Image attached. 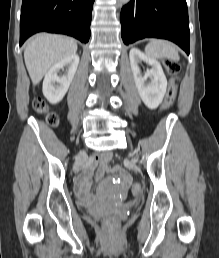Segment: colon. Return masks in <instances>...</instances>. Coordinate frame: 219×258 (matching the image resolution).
<instances>
[{
    "label": "colon",
    "mask_w": 219,
    "mask_h": 258,
    "mask_svg": "<svg viewBox=\"0 0 219 258\" xmlns=\"http://www.w3.org/2000/svg\"><path fill=\"white\" fill-rule=\"evenodd\" d=\"M164 68L170 76L168 88L165 94L164 102L161 106L162 111H166L172 107L177 95V86L175 77L180 71V65L173 60L167 59L164 61ZM34 109L40 113L45 114L47 122L55 126L58 123V117L54 113H48L46 105L42 99H35L33 102ZM131 192L133 196L138 197L141 195V186L137 183L132 185ZM120 221L115 215H108L103 221V232L106 237L115 236L119 232Z\"/></svg>",
    "instance_id": "colon-1"
}]
</instances>
